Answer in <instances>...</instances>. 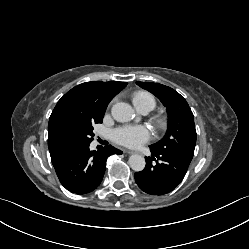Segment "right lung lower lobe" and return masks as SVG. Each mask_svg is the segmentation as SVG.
Listing matches in <instances>:
<instances>
[{"label":"right lung lower lobe","mask_w":249,"mask_h":249,"mask_svg":"<svg viewBox=\"0 0 249 249\" xmlns=\"http://www.w3.org/2000/svg\"><path fill=\"white\" fill-rule=\"evenodd\" d=\"M89 145L75 148L54 165L61 184L70 192L86 194L93 191L102 181L107 158L122 154L111 145L99 151H91Z\"/></svg>","instance_id":"obj_1"}]
</instances>
